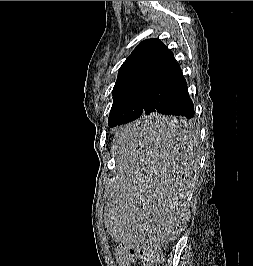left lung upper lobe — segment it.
I'll list each match as a JSON object with an SVG mask.
<instances>
[{"instance_id":"1","label":"left lung upper lobe","mask_w":253,"mask_h":266,"mask_svg":"<svg viewBox=\"0 0 253 266\" xmlns=\"http://www.w3.org/2000/svg\"><path fill=\"white\" fill-rule=\"evenodd\" d=\"M168 48L159 39L142 41L119 69L114 85L108 125L114 127L143 120V108L150 83Z\"/></svg>"}]
</instances>
